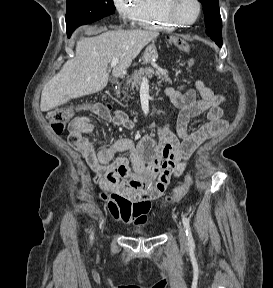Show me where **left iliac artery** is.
<instances>
[{
	"instance_id": "obj_1",
	"label": "left iliac artery",
	"mask_w": 273,
	"mask_h": 288,
	"mask_svg": "<svg viewBox=\"0 0 273 288\" xmlns=\"http://www.w3.org/2000/svg\"><path fill=\"white\" fill-rule=\"evenodd\" d=\"M182 222H183V225H184V228H185V232H186V236H187V240H188V246L190 248H194L195 247V243H194V239H193V236H192L189 219L187 217L183 216Z\"/></svg>"
}]
</instances>
